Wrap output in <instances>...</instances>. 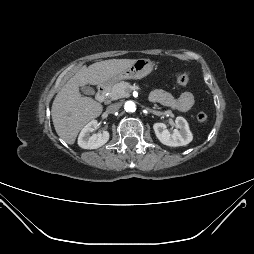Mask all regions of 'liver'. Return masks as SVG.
<instances>
[{"label": "liver", "instance_id": "liver-1", "mask_svg": "<svg viewBox=\"0 0 254 254\" xmlns=\"http://www.w3.org/2000/svg\"><path fill=\"white\" fill-rule=\"evenodd\" d=\"M135 59H110L83 66L57 93L51 109L56 133L66 143L74 144L82 127L98 117L103 106L90 97H83L79 87L100 85L134 64Z\"/></svg>", "mask_w": 254, "mask_h": 254}]
</instances>
